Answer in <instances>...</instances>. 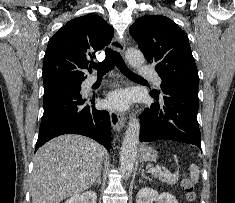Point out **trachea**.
I'll list each match as a JSON object with an SVG mask.
<instances>
[{
	"mask_svg": "<svg viewBox=\"0 0 235 203\" xmlns=\"http://www.w3.org/2000/svg\"><path fill=\"white\" fill-rule=\"evenodd\" d=\"M115 62H116V66L127 77H140V76L136 75L135 73H133L126 66L121 55L118 52H116L110 48L106 49L105 60L100 63H93V64H91V67L97 70L98 76H103L114 67Z\"/></svg>",
	"mask_w": 235,
	"mask_h": 203,
	"instance_id": "3493384b",
	"label": "trachea"
}]
</instances>
